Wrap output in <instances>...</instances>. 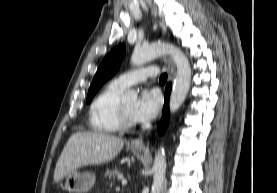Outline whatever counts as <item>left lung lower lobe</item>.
Listing matches in <instances>:
<instances>
[{"label":"left lung lower lobe","instance_id":"0a47b994","mask_svg":"<svg viewBox=\"0 0 277 193\" xmlns=\"http://www.w3.org/2000/svg\"><path fill=\"white\" fill-rule=\"evenodd\" d=\"M171 91V85L169 84L165 92V102L163 108V116L159 125V132L162 134L168 126L169 123V96Z\"/></svg>","mask_w":277,"mask_h":193}]
</instances>
